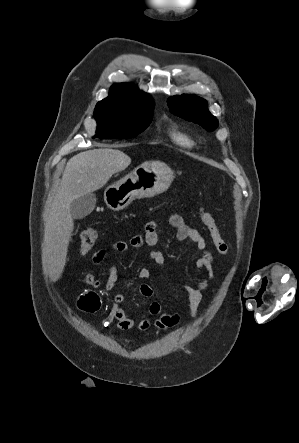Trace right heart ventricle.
<instances>
[{
	"instance_id": "1",
	"label": "right heart ventricle",
	"mask_w": 299,
	"mask_h": 443,
	"mask_svg": "<svg viewBox=\"0 0 299 443\" xmlns=\"http://www.w3.org/2000/svg\"><path fill=\"white\" fill-rule=\"evenodd\" d=\"M168 136L175 145L181 148L191 149L195 145L193 138L187 132L175 126L168 129Z\"/></svg>"
}]
</instances>
